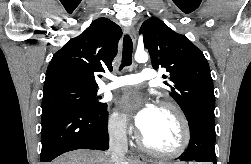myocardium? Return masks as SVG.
Instances as JSON below:
<instances>
[{"mask_svg":"<svg viewBox=\"0 0 251 164\" xmlns=\"http://www.w3.org/2000/svg\"><path fill=\"white\" fill-rule=\"evenodd\" d=\"M158 108L160 109H166L170 111L177 119L180 129H181V140L179 145L172 149V150H161L156 149L152 146H150L143 134L139 136V144L140 146L147 151L150 154L156 155V156H162V157H176L181 155L188 147L191 139V131H190V125L189 122L183 113V111L180 109V107L172 102L169 101H161L158 103Z\"/></svg>","mask_w":251,"mask_h":164,"instance_id":"obj_1","label":"myocardium"}]
</instances>
